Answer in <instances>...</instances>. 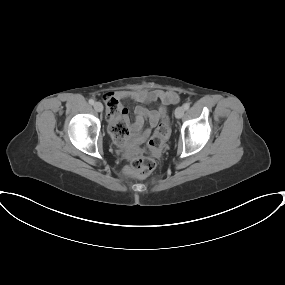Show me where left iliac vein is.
<instances>
[{
  "label": "left iliac vein",
  "instance_id": "1",
  "mask_svg": "<svg viewBox=\"0 0 285 285\" xmlns=\"http://www.w3.org/2000/svg\"><path fill=\"white\" fill-rule=\"evenodd\" d=\"M184 108L183 107H178V108H176V110H175V116H176V118H178V119H180V118H182L183 117V115H184Z\"/></svg>",
  "mask_w": 285,
  "mask_h": 285
}]
</instances>
